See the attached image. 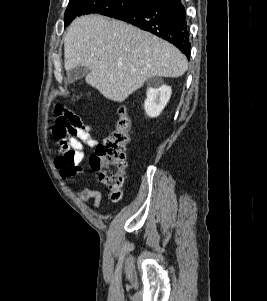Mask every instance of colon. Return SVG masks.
Masks as SVG:
<instances>
[{"label":"colon","mask_w":267,"mask_h":301,"mask_svg":"<svg viewBox=\"0 0 267 301\" xmlns=\"http://www.w3.org/2000/svg\"><path fill=\"white\" fill-rule=\"evenodd\" d=\"M76 98L80 95L75 96ZM131 121L124 106L118 109V120L113 132L96 147L89 158L92 170L98 173L111 200L117 202L122 197L125 170L126 146L129 142Z\"/></svg>","instance_id":"colon-1"}]
</instances>
